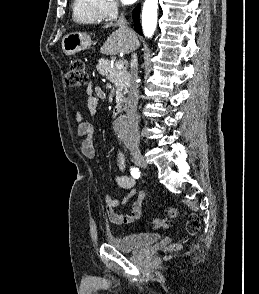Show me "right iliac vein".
<instances>
[{
  "label": "right iliac vein",
  "instance_id": "obj_1",
  "mask_svg": "<svg viewBox=\"0 0 259 294\" xmlns=\"http://www.w3.org/2000/svg\"><path fill=\"white\" fill-rule=\"evenodd\" d=\"M134 162L141 168H147V162L138 148L131 149Z\"/></svg>",
  "mask_w": 259,
  "mask_h": 294
}]
</instances>
